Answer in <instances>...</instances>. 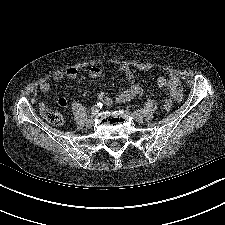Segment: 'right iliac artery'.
<instances>
[{
    "instance_id": "obj_1",
    "label": "right iliac artery",
    "mask_w": 225,
    "mask_h": 225,
    "mask_svg": "<svg viewBox=\"0 0 225 225\" xmlns=\"http://www.w3.org/2000/svg\"><path fill=\"white\" fill-rule=\"evenodd\" d=\"M103 104L101 102H98L97 104H95L91 110V114L92 115H96L102 108Z\"/></svg>"
}]
</instances>
